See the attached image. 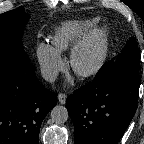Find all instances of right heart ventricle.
Returning a JSON list of instances; mask_svg holds the SVG:
<instances>
[{
  "mask_svg": "<svg viewBox=\"0 0 144 144\" xmlns=\"http://www.w3.org/2000/svg\"><path fill=\"white\" fill-rule=\"evenodd\" d=\"M97 25L96 19L69 20L61 23L50 36L52 46L60 53L74 46Z\"/></svg>",
  "mask_w": 144,
  "mask_h": 144,
  "instance_id": "right-heart-ventricle-1",
  "label": "right heart ventricle"
}]
</instances>
